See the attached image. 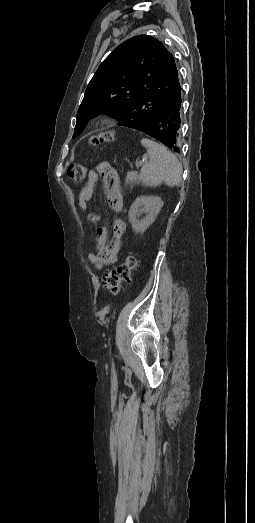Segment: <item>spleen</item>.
I'll return each mask as SVG.
<instances>
[{"instance_id":"3e777b00","label":"spleen","mask_w":255,"mask_h":523,"mask_svg":"<svg viewBox=\"0 0 255 523\" xmlns=\"http://www.w3.org/2000/svg\"><path fill=\"white\" fill-rule=\"evenodd\" d=\"M142 146L148 150L149 162H145L140 170L142 186H179L182 178V164L165 146L156 144L148 138H142Z\"/></svg>"}]
</instances>
